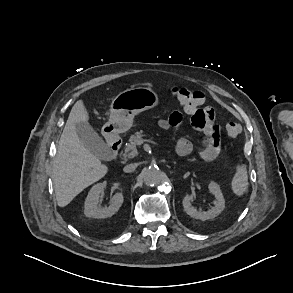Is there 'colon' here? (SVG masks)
I'll use <instances>...</instances> for the list:
<instances>
[{"mask_svg": "<svg viewBox=\"0 0 293 293\" xmlns=\"http://www.w3.org/2000/svg\"><path fill=\"white\" fill-rule=\"evenodd\" d=\"M173 95L185 111L193 113L194 116L200 115L199 107L203 102V95L195 90L186 87H174ZM241 132V126L236 122H230L226 127L228 138L235 139Z\"/></svg>", "mask_w": 293, "mask_h": 293, "instance_id": "colon-1", "label": "colon"}]
</instances>
